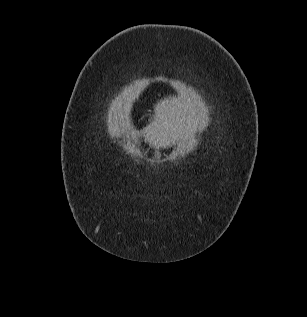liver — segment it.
Returning <instances> with one entry per match:
<instances>
[{"mask_svg":"<svg viewBox=\"0 0 307 317\" xmlns=\"http://www.w3.org/2000/svg\"><path fill=\"white\" fill-rule=\"evenodd\" d=\"M121 99L113 101L109 115L120 126L128 112ZM152 122L143 130L145 140L159 147L171 146L177 141L183 146L192 144L196 132L205 126V113L201 103L186 91L180 98L165 97L154 106Z\"/></svg>","mask_w":307,"mask_h":317,"instance_id":"6515ba94","label":"liver"}]
</instances>
